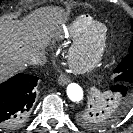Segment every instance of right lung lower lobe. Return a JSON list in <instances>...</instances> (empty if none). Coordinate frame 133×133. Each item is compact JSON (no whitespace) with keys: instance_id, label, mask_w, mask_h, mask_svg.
I'll list each match as a JSON object with an SVG mask.
<instances>
[{"instance_id":"98d812e1","label":"right lung lower lobe","mask_w":133,"mask_h":133,"mask_svg":"<svg viewBox=\"0 0 133 133\" xmlns=\"http://www.w3.org/2000/svg\"><path fill=\"white\" fill-rule=\"evenodd\" d=\"M38 78L19 73L0 84V128L11 129L24 121L31 109Z\"/></svg>"}]
</instances>
